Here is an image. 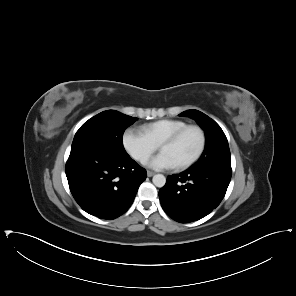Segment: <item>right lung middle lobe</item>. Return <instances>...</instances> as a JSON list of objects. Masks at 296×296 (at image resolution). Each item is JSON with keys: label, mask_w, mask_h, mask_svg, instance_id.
Instances as JSON below:
<instances>
[{"label": "right lung middle lobe", "mask_w": 296, "mask_h": 296, "mask_svg": "<svg viewBox=\"0 0 296 296\" xmlns=\"http://www.w3.org/2000/svg\"><path fill=\"white\" fill-rule=\"evenodd\" d=\"M136 120L115 110L101 112L79 128L71 151L98 149L115 156H125L127 152L123 147V133Z\"/></svg>", "instance_id": "right-lung-middle-lobe-1"}]
</instances>
